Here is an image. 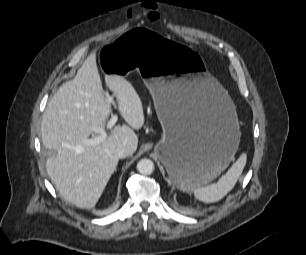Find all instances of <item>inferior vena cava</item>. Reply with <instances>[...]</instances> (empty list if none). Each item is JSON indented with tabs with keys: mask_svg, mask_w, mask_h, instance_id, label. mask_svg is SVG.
Instances as JSON below:
<instances>
[{
	"mask_svg": "<svg viewBox=\"0 0 306 255\" xmlns=\"http://www.w3.org/2000/svg\"><path fill=\"white\" fill-rule=\"evenodd\" d=\"M132 153H133L132 147L127 144L121 145L116 149V156L120 159L125 158L131 155Z\"/></svg>",
	"mask_w": 306,
	"mask_h": 255,
	"instance_id": "obj_1",
	"label": "inferior vena cava"
}]
</instances>
